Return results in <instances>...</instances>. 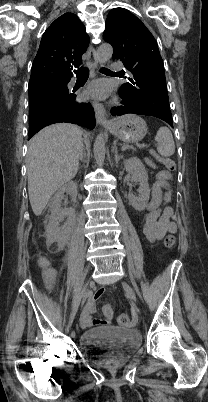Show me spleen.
Returning a JSON list of instances; mask_svg holds the SVG:
<instances>
[{"label":"spleen","instance_id":"1","mask_svg":"<svg viewBox=\"0 0 208 402\" xmlns=\"http://www.w3.org/2000/svg\"><path fill=\"white\" fill-rule=\"evenodd\" d=\"M155 140L158 144V154H161L164 158L173 156L175 152V144L169 128H160L155 136Z\"/></svg>","mask_w":208,"mask_h":402}]
</instances>
